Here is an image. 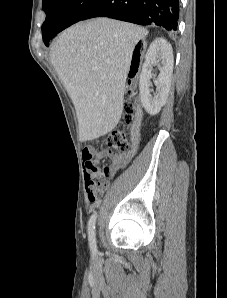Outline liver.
Instances as JSON below:
<instances>
[{"label":"liver","mask_w":227,"mask_h":298,"mask_svg":"<svg viewBox=\"0 0 227 298\" xmlns=\"http://www.w3.org/2000/svg\"><path fill=\"white\" fill-rule=\"evenodd\" d=\"M147 33L137 25L100 17L69 27L52 45L50 60L73 101L81 142L118 124L132 54Z\"/></svg>","instance_id":"liver-1"}]
</instances>
